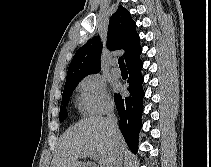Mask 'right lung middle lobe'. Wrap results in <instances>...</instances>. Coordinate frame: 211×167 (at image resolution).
Listing matches in <instances>:
<instances>
[{"label": "right lung middle lobe", "instance_id": "right-lung-middle-lobe-1", "mask_svg": "<svg viewBox=\"0 0 211 167\" xmlns=\"http://www.w3.org/2000/svg\"><path fill=\"white\" fill-rule=\"evenodd\" d=\"M80 80L81 79L73 80V81L65 83L64 91H63V95H62V104H63V106L60 107V117H59L60 121L65 120L67 118V116H68L66 106H67V104L69 102V98H70L73 90L75 89V87L77 86V84H78V82Z\"/></svg>", "mask_w": 211, "mask_h": 167}]
</instances>
